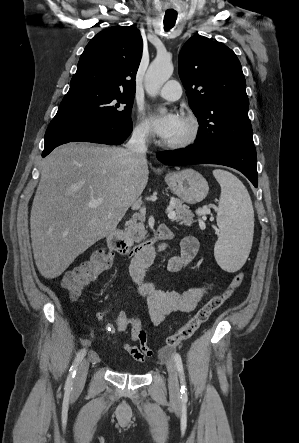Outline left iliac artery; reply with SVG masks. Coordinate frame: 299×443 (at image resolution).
Returning a JSON list of instances; mask_svg holds the SVG:
<instances>
[{
    "instance_id": "1",
    "label": "left iliac artery",
    "mask_w": 299,
    "mask_h": 443,
    "mask_svg": "<svg viewBox=\"0 0 299 443\" xmlns=\"http://www.w3.org/2000/svg\"><path fill=\"white\" fill-rule=\"evenodd\" d=\"M174 361L179 372V377L181 381V398L183 401H187V388L185 382L184 368L181 356L178 353L174 354Z\"/></svg>"
}]
</instances>
